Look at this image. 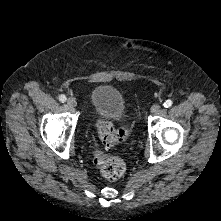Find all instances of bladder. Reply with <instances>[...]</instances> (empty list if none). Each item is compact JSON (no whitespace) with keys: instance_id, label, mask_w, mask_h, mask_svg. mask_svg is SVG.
<instances>
[{"instance_id":"bladder-1","label":"bladder","mask_w":221,"mask_h":221,"mask_svg":"<svg viewBox=\"0 0 221 221\" xmlns=\"http://www.w3.org/2000/svg\"><path fill=\"white\" fill-rule=\"evenodd\" d=\"M93 112L105 119L119 121L125 112V100L121 92L109 85L95 87L90 96Z\"/></svg>"}]
</instances>
